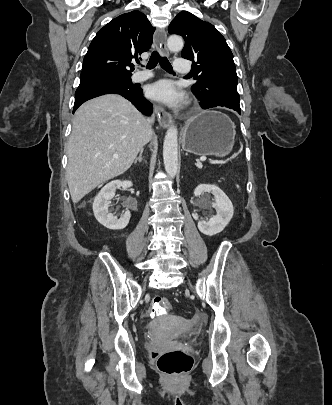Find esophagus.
<instances>
[{
    "instance_id": "1",
    "label": "esophagus",
    "mask_w": 332,
    "mask_h": 405,
    "mask_svg": "<svg viewBox=\"0 0 332 405\" xmlns=\"http://www.w3.org/2000/svg\"><path fill=\"white\" fill-rule=\"evenodd\" d=\"M167 34L165 30H157L154 34L155 46L159 49L162 55L168 56L169 52L166 46ZM155 111L157 114V119L163 128H167L172 123V116L164 108L156 105Z\"/></svg>"
}]
</instances>
